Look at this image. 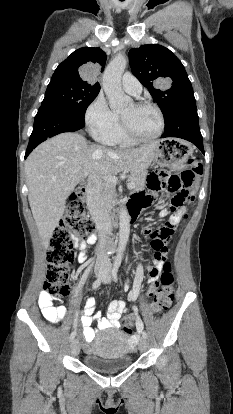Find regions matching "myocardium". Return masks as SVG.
Instances as JSON below:
<instances>
[{"label":"myocardium","mask_w":233,"mask_h":414,"mask_svg":"<svg viewBox=\"0 0 233 414\" xmlns=\"http://www.w3.org/2000/svg\"><path fill=\"white\" fill-rule=\"evenodd\" d=\"M134 105L137 108H153L154 110H156V112L158 113L160 117V129L154 136L141 137L131 128L129 123L122 116H120V124H121L123 132L126 134L128 138H130L134 142L147 143V142L155 141L164 133L165 127H166L165 115L162 109L157 104L153 102H149V101L136 102L134 103Z\"/></svg>","instance_id":"obj_1"}]
</instances>
